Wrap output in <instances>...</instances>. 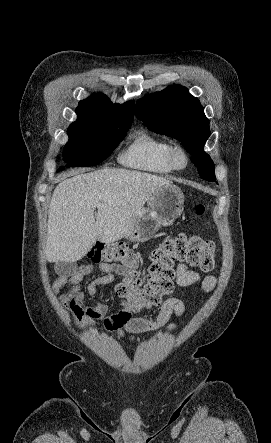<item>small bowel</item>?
I'll list each match as a JSON object with an SVG mask.
<instances>
[{
	"instance_id": "c3829d8e",
	"label": "small bowel",
	"mask_w": 271,
	"mask_h": 443,
	"mask_svg": "<svg viewBox=\"0 0 271 443\" xmlns=\"http://www.w3.org/2000/svg\"><path fill=\"white\" fill-rule=\"evenodd\" d=\"M94 270H99L103 275L89 283L86 291L83 292L82 280ZM128 273L126 268L117 263L84 264L77 272L57 279L52 285V290L58 293L61 289L68 288L59 297V302L70 313L74 325L78 328H87L94 320L103 319L107 331L116 332L119 337H123L125 333L151 332L164 326H167L168 331L175 329L176 324L168 322L172 315L180 317L185 309L183 302L178 298L167 299L154 320L134 318L127 301L123 298V309L110 316H107L106 304L93 303L99 286L112 283L116 275L124 277ZM176 282L183 287L200 282L203 290L210 292L216 285V278L214 276L202 277L188 267L179 265L176 271Z\"/></svg>"
}]
</instances>
